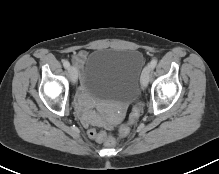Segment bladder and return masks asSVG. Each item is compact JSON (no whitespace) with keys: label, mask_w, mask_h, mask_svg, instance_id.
<instances>
[{"label":"bladder","mask_w":219,"mask_h":174,"mask_svg":"<svg viewBox=\"0 0 219 174\" xmlns=\"http://www.w3.org/2000/svg\"><path fill=\"white\" fill-rule=\"evenodd\" d=\"M143 66L144 56L137 49H96L86 59L81 87L95 99L132 102Z\"/></svg>","instance_id":"1"}]
</instances>
